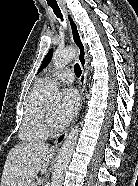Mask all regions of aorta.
Here are the masks:
<instances>
[{
	"instance_id": "obj_1",
	"label": "aorta",
	"mask_w": 138,
	"mask_h": 186,
	"mask_svg": "<svg viewBox=\"0 0 138 186\" xmlns=\"http://www.w3.org/2000/svg\"><path fill=\"white\" fill-rule=\"evenodd\" d=\"M77 51L74 48H67L64 50L56 51L52 58V63L56 70L63 69L69 62H71L76 56ZM49 97L52 101L58 102L60 100V93L57 84H53L49 89ZM79 134V126L76 125L72 128L61 147L59 157L55 166V170L52 174L51 186H62L65 172L70 163L73 150L77 143Z\"/></svg>"
}]
</instances>
